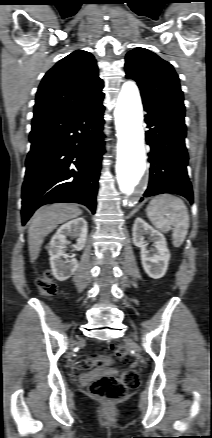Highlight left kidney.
Returning <instances> with one entry per match:
<instances>
[{"mask_svg":"<svg viewBox=\"0 0 212 438\" xmlns=\"http://www.w3.org/2000/svg\"><path fill=\"white\" fill-rule=\"evenodd\" d=\"M144 234L151 236L155 243V249L147 250L143 238ZM132 236L133 244L141 249L142 266L148 276L153 279L163 277L167 271L170 259V252L167 248L164 235L150 226L142 218H136L132 229Z\"/></svg>","mask_w":212,"mask_h":438,"instance_id":"1","label":"left kidney"}]
</instances>
